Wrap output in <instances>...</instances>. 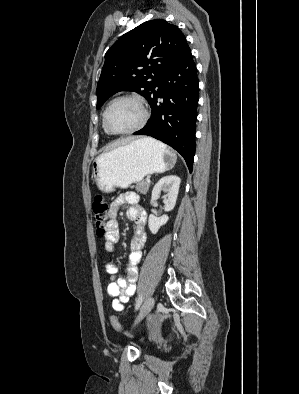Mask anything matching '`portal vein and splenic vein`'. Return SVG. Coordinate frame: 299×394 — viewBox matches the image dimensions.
<instances>
[{"mask_svg": "<svg viewBox=\"0 0 299 394\" xmlns=\"http://www.w3.org/2000/svg\"><path fill=\"white\" fill-rule=\"evenodd\" d=\"M146 182H147V183H150L151 181H150V179H146Z\"/></svg>", "mask_w": 299, "mask_h": 394, "instance_id": "1", "label": "portal vein and splenic vein"}]
</instances>
